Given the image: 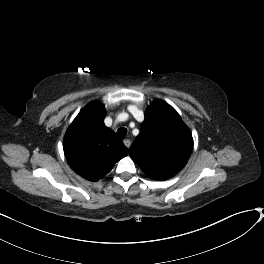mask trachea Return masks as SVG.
Listing matches in <instances>:
<instances>
[{
    "mask_svg": "<svg viewBox=\"0 0 264 264\" xmlns=\"http://www.w3.org/2000/svg\"><path fill=\"white\" fill-rule=\"evenodd\" d=\"M127 134V129L125 127H121L117 130V135L120 137V138H124Z\"/></svg>",
    "mask_w": 264,
    "mask_h": 264,
    "instance_id": "3493384b",
    "label": "trachea"
}]
</instances>
